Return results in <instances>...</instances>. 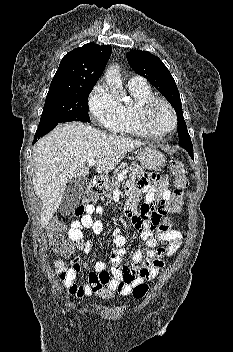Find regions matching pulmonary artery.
Wrapping results in <instances>:
<instances>
[{
	"mask_svg": "<svg viewBox=\"0 0 233 352\" xmlns=\"http://www.w3.org/2000/svg\"><path fill=\"white\" fill-rule=\"evenodd\" d=\"M144 83H146L144 78L140 76H134L129 78L128 80V84H144Z\"/></svg>",
	"mask_w": 233,
	"mask_h": 352,
	"instance_id": "e3ab8cb5",
	"label": "pulmonary artery"
}]
</instances>
